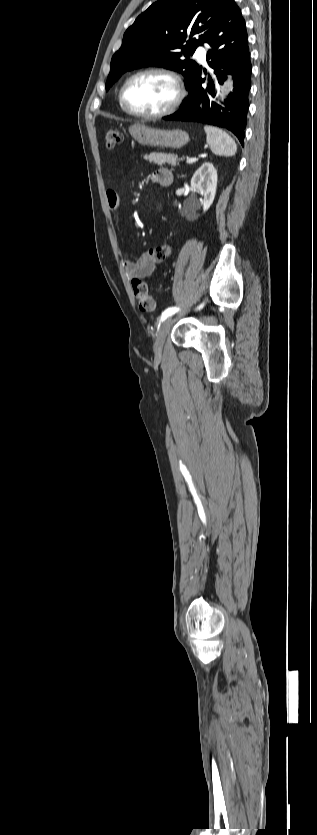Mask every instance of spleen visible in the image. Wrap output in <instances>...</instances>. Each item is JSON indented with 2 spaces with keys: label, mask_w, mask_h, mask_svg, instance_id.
<instances>
[{
  "label": "spleen",
  "mask_w": 317,
  "mask_h": 835,
  "mask_svg": "<svg viewBox=\"0 0 317 835\" xmlns=\"http://www.w3.org/2000/svg\"><path fill=\"white\" fill-rule=\"evenodd\" d=\"M206 141L212 152L219 156H233L237 151L235 141L220 128L206 125L204 127Z\"/></svg>",
  "instance_id": "spleen-1"
}]
</instances>
